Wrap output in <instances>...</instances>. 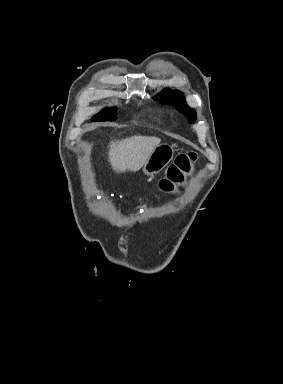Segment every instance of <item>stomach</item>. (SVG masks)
Segmentation results:
<instances>
[{
	"label": "stomach",
	"instance_id": "1",
	"mask_svg": "<svg viewBox=\"0 0 283 384\" xmlns=\"http://www.w3.org/2000/svg\"><path fill=\"white\" fill-rule=\"evenodd\" d=\"M174 150L168 144H159L151 152L147 162L143 166V172L146 176H155L159 174L171 160H173Z\"/></svg>",
	"mask_w": 283,
	"mask_h": 384
}]
</instances>
